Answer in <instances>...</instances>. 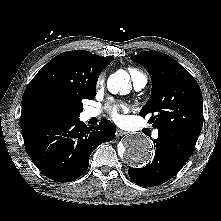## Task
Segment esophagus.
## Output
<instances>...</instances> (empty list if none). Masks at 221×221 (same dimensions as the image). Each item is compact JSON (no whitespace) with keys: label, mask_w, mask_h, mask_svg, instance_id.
I'll return each mask as SVG.
<instances>
[{"label":"esophagus","mask_w":221,"mask_h":221,"mask_svg":"<svg viewBox=\"0 0 221 221\" xmlns=\"http://www.w3.org/2000/svg\"><path fill=\"white\" fill-rule=\"evenodd\" d=\"M126 134V132H124L123 130H121V129H117L116 130V137H121V136H123V135H125Z\"/></svg>","instance_id":"1"}]
</instances>
